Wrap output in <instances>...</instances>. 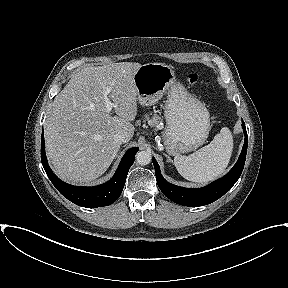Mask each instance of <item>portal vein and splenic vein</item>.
<instances>
[{"label": "portal vein and splenic vein", "instance_id": "obj_1", "mask_svg": "<svg viewBox=\"0 0 288 288\" xmlns=\"http://www.w3.org/2000/svg\"><path fill=\"white\" fill-rule=\"evenodd\" d=\"M110 93V89L107 88L104 92H103V100H104V103H105V106H106V111L108 113H110L112 111V108L113 107H116V105L114 103H112L110 101V99L108 98V94Z\"/></svg>", "mask_w": 288, "mask_h": 288}]
</instances>
